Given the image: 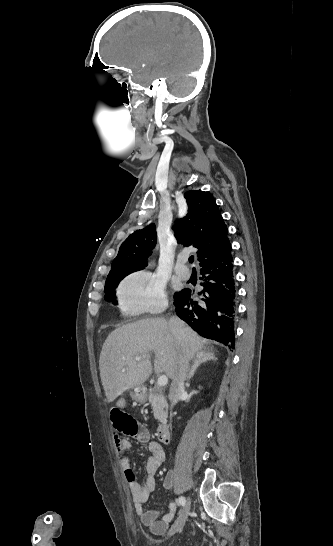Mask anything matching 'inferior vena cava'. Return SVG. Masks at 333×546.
<instances>
[{
	"mask_svg": "<svg viewBox=\"0 0 333 546\" xmlns=\"http://www.w3.org/2000/svg\"><path fill=\"white\" fill-rule=\"evenodd\" d=\"M169 328L171 330L172 335L179 342L182 343L186 339L184 324L180 319L176 317H172L169 320ZM188 371H189V357L187 352L185 350H182V353L180 354V358H179V367L170 386L169 400L172 406L177 404L180 397L185 392L184 381L186 379Z\"/></svg>",
	"mask_w": 333,
	"mask_h": 546,
	"instance_id": "1",
	"label": "inferior vena cava"
}]
</instances>
